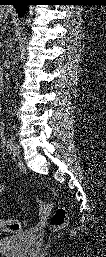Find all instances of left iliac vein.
<instances>
[{
  "mask_svg": "<svg viewBox=\"0 0 106 257\" xmlns=\"http://www.w3.org/2000/svg\"><path fill=\"white\" fill-rule=\"evenodd\" d=\"M20 154V148L18 145H14L13 148H12V155L14 158L18 157Z\"/></svg>",
  "mask_w": 106,
  "mask_h": 257,
  "instance_id": "left-iliac-vein-1",
  "label": "left iliac vein"
}]
</instances>
